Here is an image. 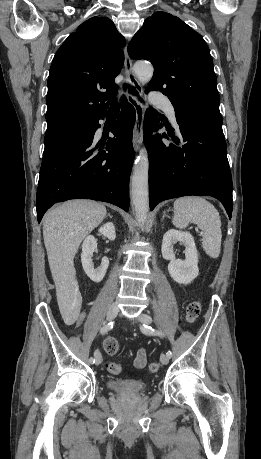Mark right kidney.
<instances>
[{"instance_id": "right-kidney-1", "label": "right kidney", "mask_w": 261, "mask_h": 459, "mask_svg": "<svg viewBox=\"0 0 261 459\" xmlns=\"http://www.w3.org/2000/svg\"><path fill=\"white\" fill-rule=\"evenodd\" d=\"M99 233L107 237L109 240H115V226L112 222H107L99 228ZM97 249V241L94 236L89 235L85 238L82 244L81 262L82 267L87 276L94 282H101L106 274L109 260L107 257L102 258L101 265L97 269L94 268L92 262L93 252Z\"/></svg>"}]
</instances>
